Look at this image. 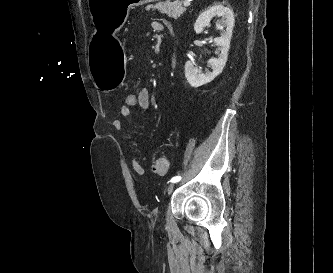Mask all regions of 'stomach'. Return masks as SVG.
Returning <instances> with one entry per match:
<instances>
[{"label":"stomach","mask_w":333,"mask_h":273,"mask_svg":"<svg viewBox=\"0 0 333 273\" xmlns=\"http://www.w3.org/2000/svg\"><path fill=\"white\" fill-rule=\"evenodd\" d=\"M158 0H89L94 23L100 31H95L89 44V56H93L90 69L95 85L103 91L117 89L125 81L127 58L122 53L118 32L125 27L127 11Z\"/></svg>","instance_id":"stomach-1"}]
</instances>
